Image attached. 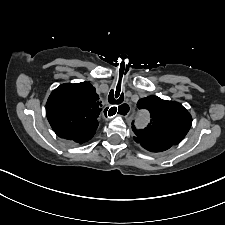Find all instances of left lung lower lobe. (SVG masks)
Returning a JSON list of instances; mask_svg holds the SVG:
<instances>
[{
    "label": "left lung lower lobe",
    "mask_w": 225,
    "mask_h": 225,
    "mask_svg": "<svg viewBox=\"0 0 225 225\" xmlns=\"http://www.w3.org/2000/svg\"><path fill=\"white\" fill-rule=\"evenodd\" d=\"M134 140L137 143H139L143 148H145L146 150H148L150 152H162L171 147L170 145L151 143V142L144 141V140H141L136 137H134Z\"/></svg>",
    "instance_id": "1"
}]
</instances>
